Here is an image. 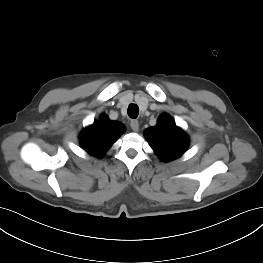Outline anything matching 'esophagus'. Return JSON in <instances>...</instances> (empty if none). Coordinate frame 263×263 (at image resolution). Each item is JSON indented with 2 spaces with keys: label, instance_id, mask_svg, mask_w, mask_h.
<instances>
[{
  "label": "esophagus",
  "instance_id": "esophagus-1",
  "mask_svg": "<svg viewBox=\"0 0 263 263\" xmlns=\"http://www.w3.org/2000/svg\"><path fill=\"white\" fill-rule=\"evenodd\" d=\"M130 127L133 131L137 132L139 130V122L135 119L131 120Z\"/></svg>",
  "mask_w": 263,
  "mask_h": 263
}]
</instances>
